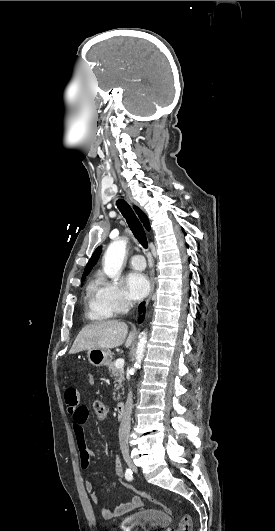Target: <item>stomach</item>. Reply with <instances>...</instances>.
<instances>
[{
	"instance_id": "1",
	"label": "stomach",
	"mask_w": 275,
	"mask_h": 531,
	"mask_svg": "<svg viewBox=\"0 0 275 531\" xmlns=\"http://www.w3.org/2000/svg\"><path fill=\"white\" fill-rule=\"evenodd\" d=\"M112 355L113 353L109 349H100V347H93L87 353L88 361L94 367H105V365H109L112 361Z\"/></svg>"
}]
</instances>
